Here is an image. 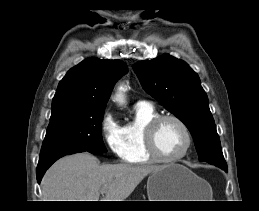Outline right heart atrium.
<instances>
[{"mask_svg":"<svg viewBox=\"0 0 259 211\" xmlns=\"http://www.w3.org/2000/svg\"><path fill=\"white\" fill-rule=\"evenodd\" d=\"M100 131L111 153L118 158H122L123 140L121 127L111 112L107 111L103 114L100 121Z\"/></svg>","mask_w":259,"mask_h":211,"instance_id":"d8ad5b80","label":"right heart atrium"}]
</instances>
